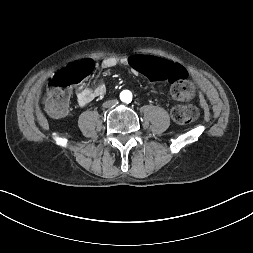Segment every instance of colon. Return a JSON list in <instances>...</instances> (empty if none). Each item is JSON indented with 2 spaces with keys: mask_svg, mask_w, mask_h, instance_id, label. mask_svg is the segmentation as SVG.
<instances>
[{
  "mask_svg": "<svg viewBox=\"0 0 253 253\" xmlns=\"http://www.w3.org/2000/svg\"><path fill=\"white\" fill-rule=\"evenodd\" d=\"M129 68L135 74L160 82H169L174 99L187 102L192 99L194 89L188 81L187 72L176 61H165L158 57H148L135 53L129 59ZM92 71L89 61L66 67L56 73L49 82L46 106L55 116L66 113L69 103V88L84 81ZM198 109L193 105H177L171 110L172 119L178 124H189L198 117Z\"/></svg>",
  "mask_w": 253,
  "mask_h": 253,
  "instance_id": "obj_1",
  "label": "colon"
}]
</instances>
